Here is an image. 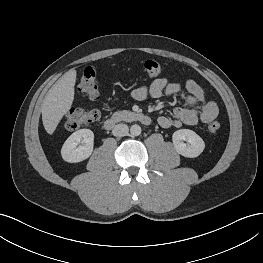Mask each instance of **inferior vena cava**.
Segmentation results:
<instances>
[{
    "label": "inferior vena cava",
    "mask_w": 263,
    "mask_h": 263,
    "mask_svg": "<svg viewBox=\"0 0 263 263\" xmlns=\"http://www.w3.org/2000/svg\"><path fill=\"white\" fill-rule=\"evenodd\" d=\"M129 128L126 124H117L112 130V134L117 137L126 136L128 134Z\"/></svg>",
    "instance_id": "inferior-vena-cava-1"
}]
</instances>
